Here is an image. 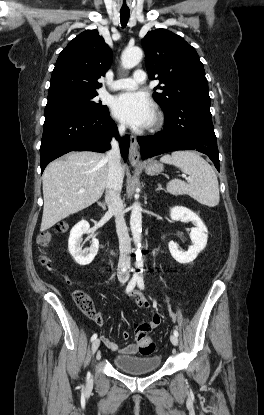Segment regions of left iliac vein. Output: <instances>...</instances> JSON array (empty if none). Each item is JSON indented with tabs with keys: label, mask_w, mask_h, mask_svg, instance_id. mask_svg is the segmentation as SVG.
I'll list each match as a JSON object with an SVG mask.
<instances>
[{
	"label": "left iliac vein",
	"mask_w": 264,
	"mask_h": 415,
	"mask_svg": "<svg viewBox=\"0 0 264 415\" xmlns=\"http://www.w3.org/2000/svg\"><path fill=\"white\" fill-rule=\"evenodd\" d=\"M170 341H171V343H172L174 346H177V345H178V337H177V336H175L174 334H172V335L170 336Z\"/></svg>",
	"instance_id": "4c4485c4"
}]
</instances>
